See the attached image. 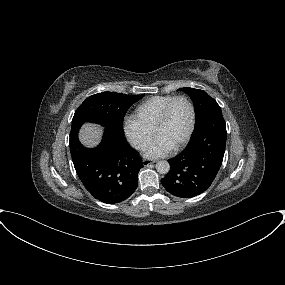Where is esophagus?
Here are the masks:
<instances>
[{
	"mask_svg": "<svg viewBox=\"0 0 285 285\" xmlns=\"http://www.w3.org/2000/svg\"><path fill=\"white\" fill-rule=\"evenodd\" d=\"M156 161L155 160H152V159H144L143 160V166L147 167L149 166L150 164L152 163H155Z\"/></svg>",
	"mask_w": 285,
	"mask_h": 285,
	"instance_id": "1",
	"label": "esophagus"
}]
</instances>
